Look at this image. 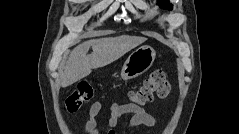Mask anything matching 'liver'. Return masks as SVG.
<instances>
[{
    "mask_svg": "<svg viewBox=\"0 0 239 134\" xmlns=\"http://www.w3.org/2000/svg\"><path fill=\"white\" fill-rule=\"evenodd\" d=\"M146 38L122 35L92 39L78 45L71 52L61 75V84L68 86L88 76L93 69L104 67L144 43ZM90 47L93 52L87 55Z\"/></svg>",
    "mask_w": 239,
    "mask_h": 134,
    "instance_id": "liver-1",
    "label": "liver"
}]
</instances>
